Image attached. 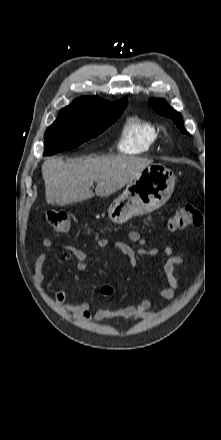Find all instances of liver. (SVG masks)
<instances>
[{"label": "liver", "mask_w": 221, "mask_h": 440, "mask_svg": "<svg viewBox=\"0 0 221 440\" xmlns=\"http://www.w3.org/2000/svg\"><path fill=\"white\" fill-rule=\"evenodd\" d=\"M150 160L131 156H112L78 159L66 163L49 159L42 165L45 198L48 204L65 206L118 191L143 169ZM97 182L95 193L90 188Z\"/></svg>", "instance_id": "1"}]
</instances>
